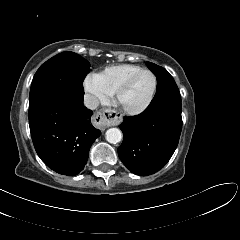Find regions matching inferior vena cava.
<instances>
[{
	"mask_svg": "<svg viewBox=\"0 0 240 240\" xmlns=\"http://www.w3.org/2000/svg\"><path fill=\"white\" fill-rule=\"evenodd\" d=\"M84 105L88 108V109H96L99 106V100L90 94H85L84 95Z\"/></svg>",
	"mask_w": 240,
	"mask_h": 240,
	"instance_id": "inferior-vena-cava-1",
	"label": "inferior vena cava"
}]
</instances>
